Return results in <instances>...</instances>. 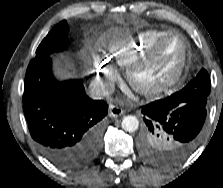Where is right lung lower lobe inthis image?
Wrapping results in <instances>:
<instances>
[{"instance_id": "1", "label": "right lung lower lobe", "mask_w": 223, "mask_h": 188, "mask_svg": "<svg viewBox=\"0 0 223 188\" xmlns=\"http://www.w3.org/2000/svg\"><path fill=\"white\" fill-rule=\"evenodd\" d=\"M23 110L38 149L55 166L78 170L97 155L108 105L90 99L80 80L57 81L49 56L28 65Z\"/></svg>"}]
</instances>
